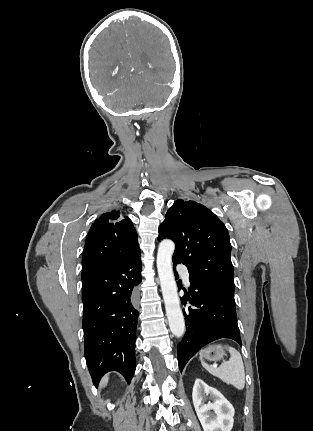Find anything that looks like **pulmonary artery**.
I'll use <instances>...</instances> for the list:
<instances>
[{
  "label": "pulmonary artery",
  "instance_id": "pulmonary-artery-1",
  "mask_svg": "<svg viewBox=\"0 0 313 431\" xmlns=\"http://www.w3.org/2000/svg\"><path fill=\"white\" fill-rule=\"evenodd\" d=\"M177 270L179 271V273L181 274L184 283L189 286L190 285V275H189V271L187 269V267L183 264H180L177 266Z\"/></svg>",
  "mask_w": 313,
  "mask_h": 431
}]
</instances>
